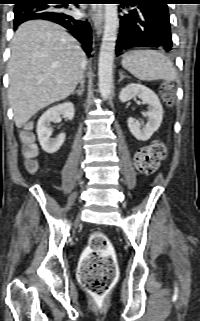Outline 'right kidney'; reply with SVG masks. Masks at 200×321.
<instances>
[{
	"instance_id": "ca27d5eb",
	"label": "right kidney",
	"mask_w": 200,
	"mask_h": 321,
	"mask_svg": "<svg viewBox=\"0 0 200 321\" xmlns=\"http://www.w3.org/2000/svg\"><path fill=\"white\" fill-rule=\"evenodd\" d=\"M75 114L74 105L71 102L62 103L49 108L42 114L37 123V135L42 149L53 154L57 152L65 140V133H60L56 138L52 139V131L49 128L50 123L56 121L60 115L68 120H72Z\"/></svg>"
}]
</instances>
